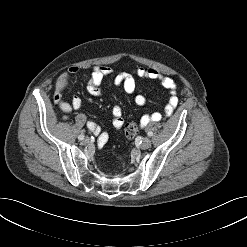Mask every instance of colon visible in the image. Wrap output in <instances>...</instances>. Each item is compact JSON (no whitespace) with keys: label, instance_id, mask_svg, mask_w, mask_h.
<instances>
[{"label":"colon","instance_id":"1","mask_svg":"<svg viewBox=\"0 0 247 247\" xmlns=\"http://www.w3.org/2000/svg\"><path fill=\"white\" fill-rule=\"evenodd\" d=\"M65 83V78H62L59 82L60 85ZM138 125L135 122H130L125 126V135L127 139L131 140L137 135Z\"/></svg>","mask_w":247,"mask_h":247}]
</instances>
